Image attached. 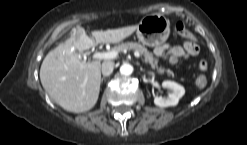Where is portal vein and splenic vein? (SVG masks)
<instances>
[{
  "instance_id": "18ae733b",
  "label": "portal vein and splenic vein",
  "mask_w": 247,
  "mask_h": 145,
  "mask_svg": "<svg viewBox=\"0 0 247 145\" xmlns=\"http://www.w3.org/2000/svg\"><path fill=\"white\" fill-rule=\"evenodd\" d=\"M135 57L140 58V53L138 51L134 52ZM118 56L117 51H109V52H97L93 55L94 59H103V60H108V59H114Z\"/></svg>"
}]
</instances>
